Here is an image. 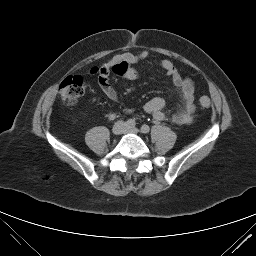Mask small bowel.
Here are the masks:
<instances>
[{"instance_id": "obj_1", "label": "small bowel", "mask_w": 256, "mask_h": 256, "mask_svg": "<svg viewBox=\"0 0 256 256\" xmlns=\"http://www.w3.org/2000/svg\"><path fill=\"white\" fill-rule=\"evenodd\" d=\"M148 54L146 50L136 54L126 52L113 56L100 66L99 85L107 97L114 101L118 99L117 92L109 82V76L115 74L129 80H137L139 73L133 65L147 59ZM160 66L178 91L180 108L177 112L168 116L163 110L165 106L164 100L160 97H153L145 103L144 110L158 122L168 120L177 126L190 124L195 112V89L193 82L188 77L183 76L169 60L161 61ZM127 112H131V110H127Z\"/></svg>"}]
</instances>
